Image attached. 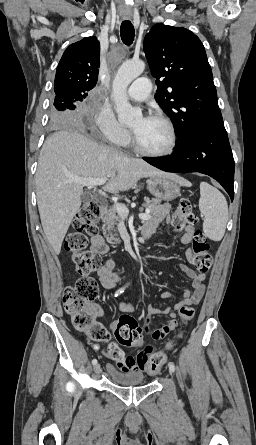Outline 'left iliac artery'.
Segmentation results:
<instances>
[{
  "label": "left iliac artery",
  "mask_w": 256,
  "mask_h": 445,
  "mask_svg": "<svg viewBox=\"0 0 256 445\" xmlns=\"http://www.w3.org/2000/svg\"><path fill=\"white\" fill-rule=\"evenodd\" d=\"M168 366H169V369H171L172 371L175 370V366H174V364H173L172 362H170V363L168 364Z\"/></svg>",
  "instance_id": "44dca946"
}]
</instances>
